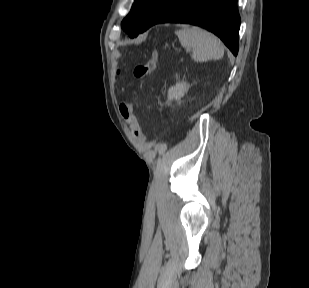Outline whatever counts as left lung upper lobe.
Segmentation results:
<instances>
[{
  "mask_svg": "<svg viewBox=\"0 0 309 288\" xmlns=\"http://www.w3.org/2000/svg\"><path fill=\"white\" fill-rule=\"evenodd\" d=\"M162 0H134L130 13L121 23L129 36L137 33Z\"/></svg>",
  "mask_w": 309,
  "mask_h": 288,
  "instance_id": "obj_1",
  "label": "left lung upper lobe"
}]
</instances>
